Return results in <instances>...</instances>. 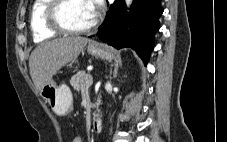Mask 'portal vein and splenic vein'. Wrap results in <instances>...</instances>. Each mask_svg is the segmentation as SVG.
Here are the masks:
<instances>
[{
    "label": "portal vein and splenic vein",
    "instance_id": "obj_1",
    "mask_svg": "<svg viewBox=\"0 0 227 142\" xmlns=\"http://www.w3.org/2000/svg\"><path fill=\"white\" fill-rule=\"evenodd\" d=\"M86 83L88 87L93 84V77L91 75H88Z\"/></svg>",
    "mask_w": 227,
    "mask_h": 142
}]
</instances>
